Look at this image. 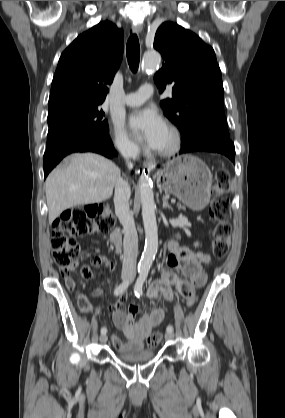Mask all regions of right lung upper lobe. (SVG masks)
Masks as SVG:
<instances>
[{
    "instance_id": "right-lung-upper-lobe-1",
    "label": "right lung upper lobe",
    "mask_w": 285,
    "mask_h": 418,
    "mask_svg": "<svg viewBox=\"0 0 285 418\" xmlns=\"http://www.w3.org/2000/svg\"><path fill=\"white\" fill-rule=\"evenodd\" d=\"M123 50V31L109 21L79 35L61 54L49 104L66 100L103 102Z\"/></svg>"
}]
</instances>
